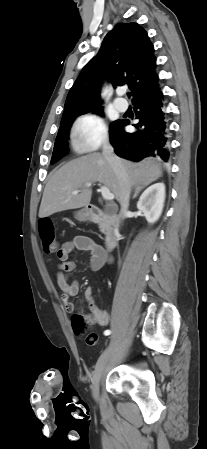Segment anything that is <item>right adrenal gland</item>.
Returning a JSON list of instances; mask_svg holds the SVG:
<instances>
[{"mask_svg": "<svg viewBox=\"0 0 207 449\" xmlns=\"http://www.w3.org/2000/svg\"><path fill=\"white\" fill-rule=\"evenodd\" d=\"M140 190H141V188L136 189V191H135V193H134V195L132 197L133 199H135L138 196Z\"/></svg>", "mask_w": 207, "mask_h": 449, "instance_id": "right-adrenal-gland-1", "label": "right adrenal gland"}]
</instances>
